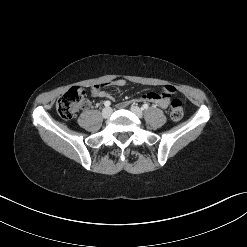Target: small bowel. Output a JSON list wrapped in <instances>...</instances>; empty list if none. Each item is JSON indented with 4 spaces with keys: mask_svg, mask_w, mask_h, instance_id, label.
<instances>
[{
    "mask_svg": "<svg viewBox=\"0 0 247 247\" xmlns=\"http://www.w3.org/2000/svg\"><path fill=\"white\" fill-rule=\"evenodd\" d=\"M126 84V81L122 78L115 79L112 81V85L116 87H123ZM175 89L171 85H165L162 89L161 93H154V92H148L140 97H138L137 101H148L153 104L158 105L162 109H167L170 104V96L174 93ZM92 95L95 97H101V98H113V95L102 90V89H96L95 86L91 88ZM87 105V103H86ZM126 103H121L120 107H125Z\"/></svg>",
    "mask_w": 247,
    "mask_h": 247,
    "instance_id": "1",
    "label": "small bowel"
}]
</instances>
